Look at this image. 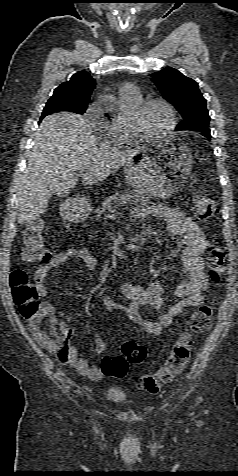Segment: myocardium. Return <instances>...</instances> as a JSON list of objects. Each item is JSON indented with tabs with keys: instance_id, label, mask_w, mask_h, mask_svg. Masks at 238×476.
I'll use <instances>...</instances> for the list:
<instances>
[{
	"instance_id": "myocardium-1",
	"label": "myocardium",
	"mask_w": 238,
	"mask_h": 476,
	"mask_svg": "<svg viewBox=\"0 0 238 476\" xmlns=\"http://www.w3.org/2000/svg\"><path fill=\"white\" fill-rule=\"evenodd\" d=\"M152 104L162 105L169 114V123L166 128L157 134H148L141 130L138 125V119L143 112ZM177 116L174 107L171 103L163 98H147L141 100L128 114L127 125L128 129L133 135L134 139L140 142L152 141L162 139L168 136L176 127Z\"/></svg>"
}]
</instances>
